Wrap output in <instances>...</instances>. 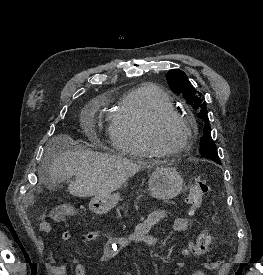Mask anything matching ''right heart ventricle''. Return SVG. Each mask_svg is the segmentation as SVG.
Listing matches in <instances>:
<instances>
[{"label": "right heart ventricle", "mask_w": 263, "mask_h": 275, "mask_svg": "<svg viewBox=\"0 0 263 275\" xmlns=\"http://www.w3.org/2000/svg\"><path fill=\"white\" fill-rule=\"evenodd\" d=\"M163 109H174L171 98L154 84L126 92L110 116L109 135L114 149L134 157L156 155L146 139L150 118Z\"/></svg>", "instance_id": "right-heart-ventricle-1"}]
</instances>
